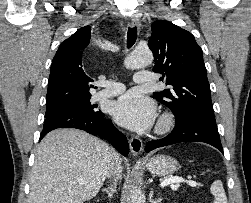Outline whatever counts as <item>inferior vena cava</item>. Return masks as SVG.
<instances>
[{
	"mask_svg": "<svg viewBox=\"0 0 251 203\" xmlns=\"http://www.w3.org/2000/svg\"><path fill=\"white\" fill-rule=\"evenodd\" d=\"M114 159H115V162L113 163V165L110 169L108 177L113 176V177H115V180H116V178L117 179L121 178V171L122 170H121L119 156L115 152H114Z\"/></svg>",
	"mask_w": 251,
	"mask_h": 203,
	"instance_id": "obj_1",
	"label": "inferior vena cava"
}]
</instances>
